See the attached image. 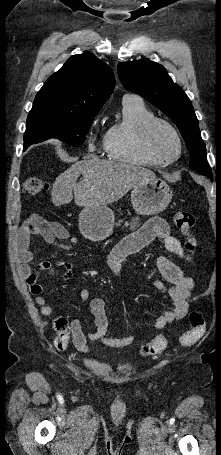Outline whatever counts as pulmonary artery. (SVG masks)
<instances>
[{
	"mask_svg": "<svg viewBox=\"0 0 221 455\" xmlns=\"http://www.w3.org/2000/svg\"><path fill=\"white\" fill-rule=\"evenodd\" d=\"M125 96H135V95H129V94H127V95H125ZM125 96H124V97H125ZM135 97H137V96H135ZM137 98H139V97H137ZM139 99H140V98H139Z\"/></svg>",
	"mask_w": 221,
	"mask_h": 455,
	"instance_id": "pulmonary-artery-1",
	"label": "pulmonary artery"
}]
</instances>
